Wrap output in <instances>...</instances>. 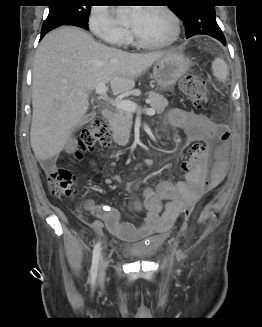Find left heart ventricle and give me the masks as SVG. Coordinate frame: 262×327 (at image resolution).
Instances as JSON below:
<instances>
[{"label": "left heart ventricle", "instance_id": "obj_1", "mask_svg": "<svg viewBox=\"0 0 262 327\" xmlns=\"http://www.w3.org/2000/svg\"><path fill=\"white\" fill-rule=\"evenodd\" d=\"M128 25L140 37L152 42L168 39L173 31L171 21L164 13L149 8L136 21L130 17Z\"/></svg>", "mask_w": 262, "mask_h": 327}]
</instances>
